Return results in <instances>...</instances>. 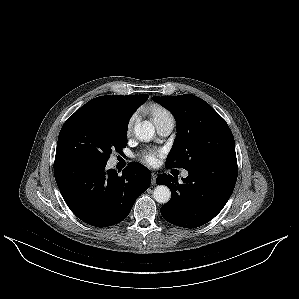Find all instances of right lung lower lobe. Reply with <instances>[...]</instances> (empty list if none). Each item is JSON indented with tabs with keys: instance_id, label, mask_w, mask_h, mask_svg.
I'll return each instance as SVG.
<instances>
[{
	"instance_id": "right-lung-lower-lobe-1",
	"label": "right lung lower lobe",
	"mask_w": 299,
	"mask_h": 299,
	"mask_svg": "<svg viewBox=\"0 0 299 299\" xmlns=\"http://www.w3.org/2000/svg\"><path fill=\"white\" fill-rule=\"evenodd\" d=\"M106 163L69 155L55 156L54 175L70 210L83 222L108 227L124 220L151 183L150 171L131 162L122 175Z\"/></svg>"
}]
</instances>
